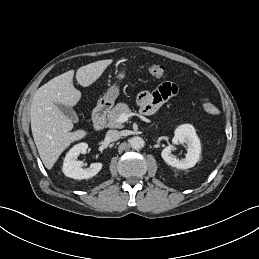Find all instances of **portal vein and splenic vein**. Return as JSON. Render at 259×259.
I'll use <instances>...</instances> for the list:
<instances>
[{"mask_svg":"<svg viewBox=\"0 0 259 259\" xmlns=\"http://www.w3.org/2000/svg\"><path fill=\"white\" fill-rule=\"evenodd\" d=\"M128 119H129V114L122 113V114L118 117L117 121H118L119 123H124V122L128 121Z\"/></svg>","mask_w":259,"mask_h":259,"instance_id":"1","label":"portal vein and splenic vein"}]
</instances>
